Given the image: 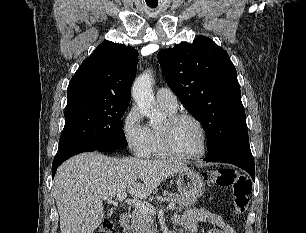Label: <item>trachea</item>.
<instances>
[{"mask_svg": "<svg viewBox=\"0 0 306 233\" xmlns=\"http://www.w3.org/2000/svg\"><path fill=\"white\" fill-rule=\"evenodd\" d=\"M149 7H151V8H155V7H157V4H147Z\"/></svg>", "mask_w": 306, "mask_h": 233, "instance_id": "obj_1", "label": "trachea"}]
</instances>
